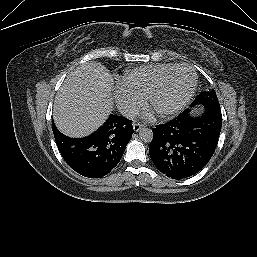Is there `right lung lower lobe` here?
Masks as SVG:
<instances>
[{"instance_id":"98d812e1","label":"right lung lower lobe","mask_w":257,"mask_h":257,"mask_svg":"<svg viewBox=\"0 0 257 257\" xmlns=\"http://www.w3.org/2000/svg\"><path fill=\"white\" fill-rule=\"evenodd\" d=\"M132 121L111 114L105 124L88 137L70 138L52 123L58 149L66 163L88 178L107 175L120 161L134 132Z\"/></svg>"}]
</instances>
